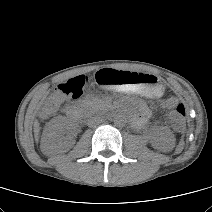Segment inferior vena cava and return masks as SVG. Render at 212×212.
I'll use <instances>...</instances> for the list:
<instances>
[{
  "mask_svg": "<svg viewBox=\"0 0 212 212\" xmlns=\"http://www.w3.org/2000/svg\"><path fill=\"white\" fill-rule=\"evenodd\" d=\"M101 122H102V119L100 117H91L87 120V125L89 127H93Z\"/></svg>",
  "mask_w": 212,
  "mask_h": 212,
  "instance_id": "602c4592",
  "label": "inferior vena cava"
}]
</instances>
